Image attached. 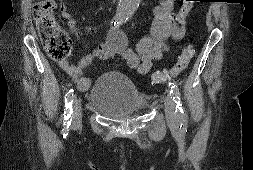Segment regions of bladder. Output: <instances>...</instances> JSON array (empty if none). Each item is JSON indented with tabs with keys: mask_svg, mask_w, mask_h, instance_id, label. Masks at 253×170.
<instances>
[{
	"mask_svg": "<svg viewBox=\"0 0 253 170\" xmlns=\"http://www.w3.org/2000/svg\"><path fill=\"white\" fill-rule=\"evenodd\" d=\"M88 104L103 116L123 119L141 113L145 99L127 75L105 71L94 81Z\"/></svg>",
	"mask_w": 253,
	"mask_h": 170,
	"instance_id": "obj_1",
	"label": "bladder"
}]
</instances>
